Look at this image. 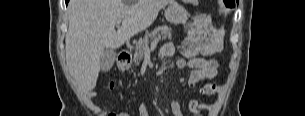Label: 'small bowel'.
<instances>
[{"label":"small bowel","mask_w":305,"mask_h":116,"mask_svg":"<svg viewBox=\"0 0 305 116\" xmlns=\"http://www.w3.org/2000/svg\"><path fill=\"white\" fill-rule=\"evenodd\" d=\"M201 54L205 56H212L220 50V43L216 38H209L200 45ZM175 52V47L172 43H165L160 51L159 55L168 58L173 56ZM176 66L178 68H190V80L189 84L192 87L197 86L202 82H206L203 86L204 94L208 96H213L217 93L218 87L215 83L209 80L213 79L218 70V63L215 59H207L203 57L194 56L188 60L178 59L176 61ZM170 108L173 116H185L181 104L177 99H171ZM212 104L210 103H199L195 99H191L188 102V109L193 116H204L205 110H210ZM138 116H149L147 107L142 104L138 110Z\"/></svg>","instance_id":"obj_1"}]
</instances>
